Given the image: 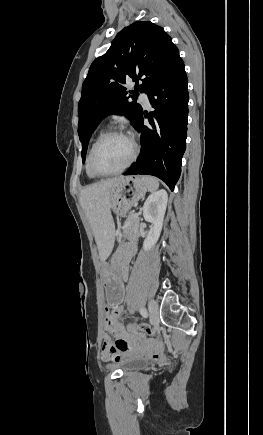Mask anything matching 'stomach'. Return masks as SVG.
Listing matches in <instances>:
<instances>
[{"instance_id": "1", "label": "stomach", "mask_w": 263, "mask_h": 435, "mask_svg": "<svg viewBox=\"0 0 263 435\" xmlns=\"http://www.w3.org/2000/svg\"><path fill=\"white\" fill-rule=\"evenodd\" d=\"M147 187L141 177H124L117 181L110 191L111 209L118 216L125 215L129 209L146 193ZM105 264L101 281L104 282L103 293L105 304L109 309L114 305H123L126 286L124 285L126 271L125 262L119 258H109Z\"/></svg>"}]
</instances>
